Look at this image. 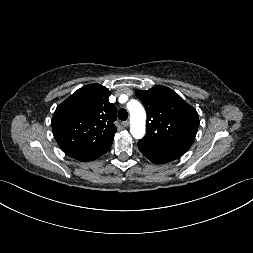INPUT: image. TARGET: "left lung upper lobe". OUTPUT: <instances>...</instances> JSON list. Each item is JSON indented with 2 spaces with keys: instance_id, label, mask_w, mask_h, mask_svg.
Here are the masks:
<instances>
[{
  "instance_id": "left-lung-upper-lobe-1",
  "label": "left lung upper lobe",
  "mask_w": 253,
  "mask_h": 253,
  "mask_svg": "<svg viewBox=\"0 0 253 253\" xmlns=\"http://www.w3.org/2000/svg\"><path fill=\"white\" fill-rule=\"evenodd\" d=\"M135 95L147 112V132L139 142L185 154L197 133V111L165 86L137 90Z\"/></svg>"
}]
</instances>
